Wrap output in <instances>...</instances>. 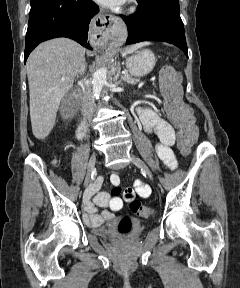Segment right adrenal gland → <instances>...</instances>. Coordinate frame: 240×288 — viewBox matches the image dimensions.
Listing matches in <instances>:
<instances>
[{
    "label": "right adrenal gland",
    "instance_id": "1",
    "mask_svg": "<svg viewBox=\"0 0 240 288\" xmlns=\"http://www.w3.org/2000/svg\"><path fill=\"white\" fill-rule=\"evenodd\" d=\"M86 66H87V63H86V61L84 60L82 66H81V68H80V70H79L78 73H77V77H78L79 75L84 74Z\"/></svg>",
    "mask_w": 240,
    "mask_h": 288
}]
</instances>
